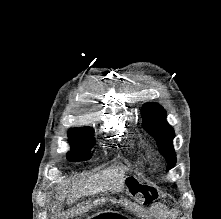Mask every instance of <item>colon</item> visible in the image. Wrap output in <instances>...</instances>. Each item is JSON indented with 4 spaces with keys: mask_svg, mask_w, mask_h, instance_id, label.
<instances>
[{
    "mask_svg": "<svg viewBox=\"0 0 221 219\" xmlns=\"http://www.w3.org/2000/svg\"><path fill=\"white\" fill-rule=\"evenodd\" d=\"M132 190L135 193V195H142L148 199V201H152L154 199L153 194L143 185L133 183L132 184Z\"/></svg>",
    "mask_w": 221,
    "mask_h": 219,
    "instance_id": "obj_1",
    "label": "colon"
}]
</instances>
